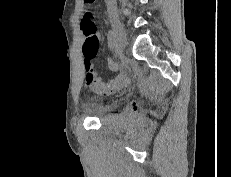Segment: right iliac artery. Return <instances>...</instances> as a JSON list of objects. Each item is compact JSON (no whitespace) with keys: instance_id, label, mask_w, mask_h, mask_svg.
I'll list each match as a JSON object with an SVG mask.
<instances>
[{"instance_id":"right-iliac-artery-1","label":"right iliac artery","mask_w":231,"mask_h":177,"mask_svg":"<svg viewBox=\"0 0 231 177\" xmlns=\"http://www.w3.org/2000/svg\"><path fill=\"white\" fill-rule=\"evenodd\" d=\"M107 37H108V46H109L111 51H114L115 50V35H114V32L109 30Z\"/></svg>"}]
</instances>
